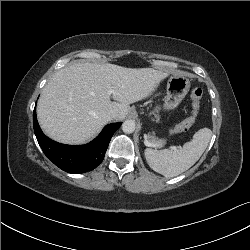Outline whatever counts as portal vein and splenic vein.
Segmentation results:
<instances>
[{"label":"portal vein and splenic vein","mask_w":250,"mask_h":250,"mask_svg":"<svg viewBox=\"0 0 250 250\" xmlns=\"http://www.w3.org/2000/svg\"><path fill=\"white\" fill-rule=\"evenodd\" d=\"M113 93V90L110 88L109 90H108V95H111ZM153 146H160V145H157V144H155V145H153ZM172 149H176L177 147H175V146H173V147H171Z\"/></svg>","instance_id":"1"}]
</instances>
